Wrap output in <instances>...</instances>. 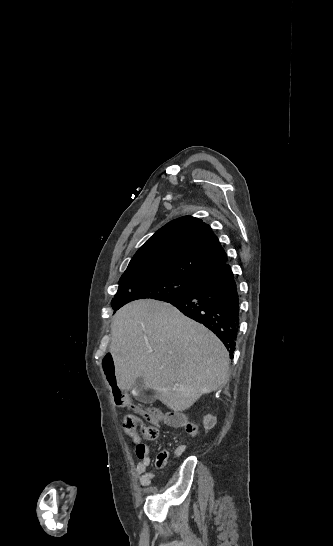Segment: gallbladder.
<instances>
[{"label":"gallbladder","instance_id":"1","mask_svg":"<svg viewBox=\"0 0 333 546\" xmlns=\"http://www.w3.org/2000/svg\"><path fill=\"white\" fill-rule=\"evenodd\" d=\"M134 390L136 391V396L139 401H145L147 403H152L153 398L150 395L145 394L144 392V378L142 376L138 377L134 384Z\"/></svg>","mask_w":333,"mask_h":546}]
</instances>
